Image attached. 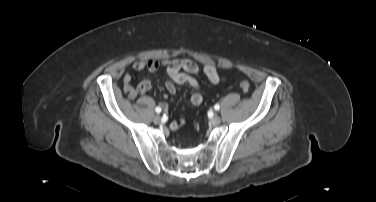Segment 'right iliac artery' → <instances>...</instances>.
Masks as SVG:
<instances>
[{
  "mask_svg": "<svg viewBox=\"0 0 376 202\" xmlns=\"http://www.w3.org/2000/svg\"><path fill=\"white\" fill-rule=\"evenodd\" d=\"M155 111H156L157 113H160V112H161V108H160V107H156V108H155Z\"/></svg>",
  "mask_w": 376,
  "mask_h": 202,
  "instance_id": "1",
  "label": "right iliac artery"
}]
</instances>
